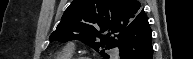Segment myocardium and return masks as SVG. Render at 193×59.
<instances>
[{"label": "myocardium", "instance_id": "f54148a6", "mask_svg": "<svg viewBox=\"0 0 193 59\" xmlns=\"http://www.w3.org/2000/svg\"><path fill=\"white\" fill-rule=\"evenodd\" d=\"M71 59H92V58L86 57V56H79V57L71 58Z\"/></svg>", "mask_w": 193, "mask_h": 59}]
</instances>
